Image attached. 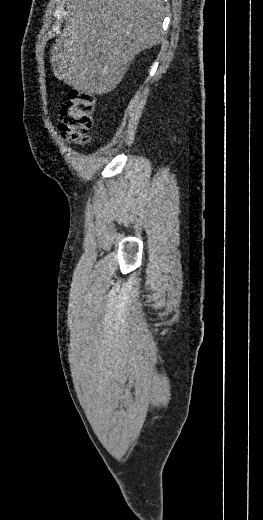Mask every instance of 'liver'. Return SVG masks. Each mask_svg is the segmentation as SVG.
<instances>
[{
  "label": "liver",
  "instance_id": "6515ba94",
  "mask_svg": "<svg viewBox=\"0 0 263 520\" xmlns=\"http://www.w3.org/2000/svg\"><path fill=\"white\" fill-rule=\"evenodd\" d=\"M65 8L50 60L54 76L78 91L111 92L135 56L163 38V0H65Z\"/></svg>",
  "mask_w": 263,
  "mask_h": 520
}]
</instances>
